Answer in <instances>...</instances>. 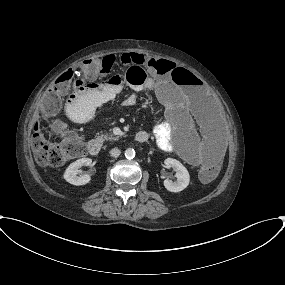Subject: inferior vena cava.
I'll list each match as a JSON object with an SVG mask.
<instances>
[{
	"instance_id": "1",
	"label": "inferior vena cava",
	"mask_w": 285,
	"mask_h": 285,
	"mask_svg": "<svg viewBox=\"0 0 285 285\" xmlns=\"http://www.w3.org/2000/svg\"><path fill=\"white\" fill-rule=\"evenodd\" d=\"M112 157H118L121 154V151L118 148H113L110 151Z\"/></svg>"
}]
</instances>
